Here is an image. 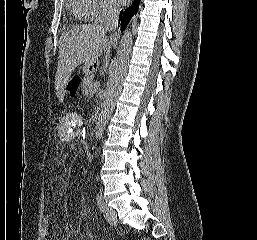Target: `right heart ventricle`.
<instances>
[{
    "label": "right heart ventricle",
    "mask_w": 257,
    "mask_h": 240,
    "mask_svg": "<svg viewBox=\"0 0 257 240\" xmlns=\"http://www.w3.org/2000/svg\"><path fill=\"white\" fill-rule=\"evenodd\" d=\"M67 7L77 20L81 22H86L91 20L94 1L93 0H67Z\"/></svg>",
    "instance_id": "obj_1"
}]
</instances>
